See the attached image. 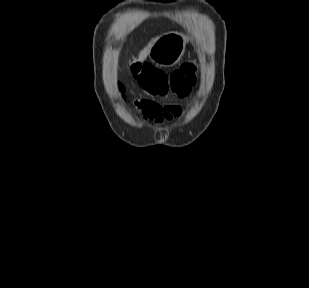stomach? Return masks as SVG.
Returning a JSON list of instances; mask_svg holds the SVG:
<instances>
[{"instance_id":"stomach-1","label":"stomach","mask_w":309,"mask_h":288,"mask_svg":"<svg viewBox=\"0 0 309 288\" xmlns=\"http://www.w3.org/2000/svg\"><path fill=\"white\" fill-rule=\"evenodd\" d=\"M187 37L179 32H169L160 36L152 45L149 59L157 65H175L185 51Z\"/></svg>"}]
</instances>
